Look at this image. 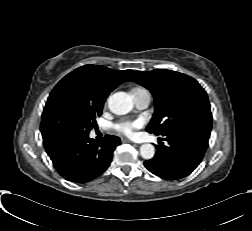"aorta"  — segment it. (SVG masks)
<instances>
[{
    "mask_svg": "<svg viewBox=\"0 0 252 231\" xmlns=\"http://www.w3.org/2000/svg\"><path fill=\"white\" fill-rule=\"evenodd\" d=\"M110 111L117 115L129 113L133 108L132 98L125 92H116L108 98ZM155 147L152 144H143L140 147V155L146 160L154 157Z\"/></svg>",
    "mask_w": 252,
    "mask_h": 231,
    "instance_id": "aorta-1",
    "label": "aorta"
}]
</instances>
